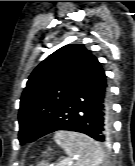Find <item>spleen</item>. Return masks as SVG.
<instances>
[{
    "mask_svg": "<svg viewBox=\"0 0 135 166\" xmlns=\"http://www.w3.org/2000/svg\"><path fill=\"white\" fill-rule=\"evenodd\" d=\"M54 140L74 160V166H100L103 163L104 152L100 144L85 134L58 131Z\"/></svg>",
    "mask_w": 135,
    "mask_h": 166,
    "instance_id": "1",
    "label": "spleen"
}]
</instances>
